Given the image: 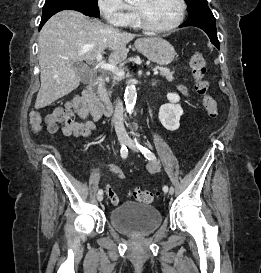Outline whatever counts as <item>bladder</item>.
<instances>
[{
  "instance_id": "1",
  "label": "bladder",
  "mask_w": 261,
  "mask_h": 273,
  "mask_svg": "<svg viewBox=\"0 0 261 273\" xmlns=\"http://www.w3.org/2000/svg\"><path fill=\"white\" fill-rule=\"evenodd\" d=\"M109 222L123 233L148 234L161 225L162 216L154 206L126 201L111 210Z\"/></svg>"
}]
</instances>
